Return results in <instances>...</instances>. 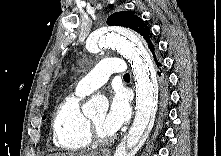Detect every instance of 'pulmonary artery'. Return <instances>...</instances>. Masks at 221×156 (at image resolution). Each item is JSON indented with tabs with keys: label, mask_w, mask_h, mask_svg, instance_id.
Listing matches in <instances>:
<instances>
[{
	"label": "pulmonary artery",
	"mask_w": 221,
	"mask_h": 156,
	"mask_svg": "<svg viewBox=\"0 0 221 156\" xmlns=\"http://www.w3.org/2000/svg\"><path fill=\"white\" fill-rule=\"evenodd\" d=\"M127 67L120 58H106L101 60L77 84L76 90L88 95L104 85L112 74H125Z\"/></svg>",
	"instance_id": "pulmonary-artery-1"
}]
</instances>
